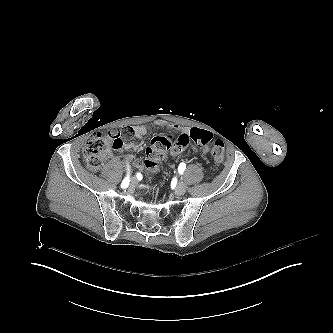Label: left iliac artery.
I'll return each mask as SVG.
<instances>
[{"label": "left iliac artery", "mask_w": 333, "mask_h": 333, "mask_svg": "<svg viewBox=\"0 0 333 333\" xmlns=\"http://www.w3.org/2000/svg\"><path fill=\"white\" fill-rule=\"evenodd\" d=\"M186 168V165L184 163H181L178 167V171L180 174H183L184 170Z\"/></svg>", "instance_id": "left-iliac-artery-1"}]
</instances>
